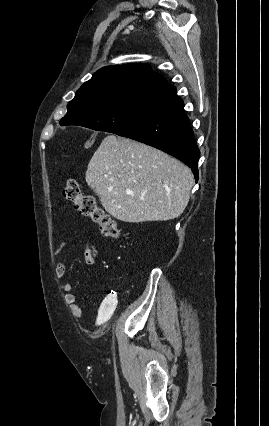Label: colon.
Returning <instances> with one entry per match:
<instances>
[{
	"instance_id": "1",
	"label": "colon",
	"mask_w": 269,
	"mask_h": 426,
	"mask_svg": "<svg viewBox=\"0 0 269 426\" xmlns=\"http://www.w3.org/2000/svg\"><path fill=\"white\" fill-rule=\"evenodd\" d=\"M63 197L75 205L80 215L97 225L103 236L112 239L122 237L115 219L99 206L94 196L83 194L76 180L70 179L66 182L63 188Z\"/></svg>"
}]
</instances>
